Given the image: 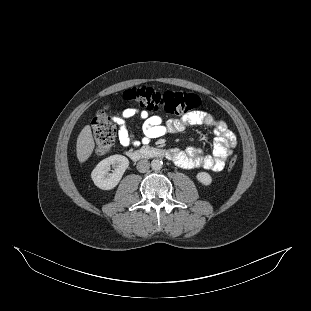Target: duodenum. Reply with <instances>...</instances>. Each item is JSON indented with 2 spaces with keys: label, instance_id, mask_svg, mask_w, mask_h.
<instances>
[{
  "label": "duodenum",
  "instance_id": "1",
  "mask_svg": "<svg viewBox=\"0 0 311 311\" xmlns=\"http://www.w3.org/2000/svg\"><path fill=\"white\" fill-rule=\"evenodd\" d=\"M126 155L133 161H139L142 159H171V152L169 150L157 147H143L137 150H130L126 152Z\"/></svg>",
  "mask_w": 311,
  "mask_h": 311
}]
</instances>
